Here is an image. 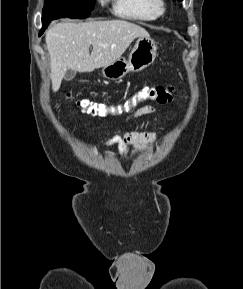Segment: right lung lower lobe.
<instances>
[{
  "instance_id": "98d812e1",
  "label": "right lung lower lobe",
  "mask_w": 243,
  "mask_h": 289,
  "mask_svg": "<svg viewBox=\"0 0 243 289\" xmlns=\"http://www.w3.org/2000/svg\"><path fill=\"white\" fill-rule=\"evenodd\" d=\"M55 20V19H54ZM52 20H45V19H42V23H43V26H42V29L40 30L39 32V36L45 31V29L47 28V26L50 24Z\"/></svg>"
}]
</instances>
